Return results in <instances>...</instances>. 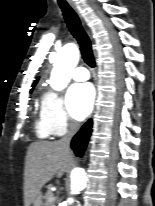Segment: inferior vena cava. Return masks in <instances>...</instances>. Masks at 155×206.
<instances>
[{
	"instance_id": "obj_1",
	"label": "inferior vena cava",
	"mask_w": 155,
	"mask_h": 206,
	"mask_svg": "<svg viewBox=\"0 0 155 206\" xmlns=\"http://www.w3.org/2000/svg\"><path fill=\"white\" fill-rule=\"evenodd\" d=\"M80 125L78 122L76 121H70L69 123V128H68V132L66 133V135L64 137H62V139H60V142L68 149L70 150V143L71 140L73 138V136L75 135V133L78 131Z\"/></svg>"
}]
</instances>
